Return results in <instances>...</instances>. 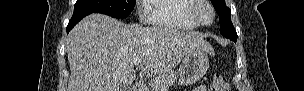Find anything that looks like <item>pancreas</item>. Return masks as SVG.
Returning <instances> with one entry per match:
<instances>
[{
	"label": "pancreas",
	"instance_id": "pancreas-1",
	"mask_svg": "<svg viewBox=\"0 0 304 91\" xmlns=\"http://www.w3.org/2000/svg\"><path fill=\"white\" fill-rule=\"evenodd\" d=\"M176 75L171 73H166L158 76L151 83V91H164L168 90L170 86H173L175 83Z\"/></svg>",
	"mask_w": 304,
	"mask_h": 91
}]
</instances>
